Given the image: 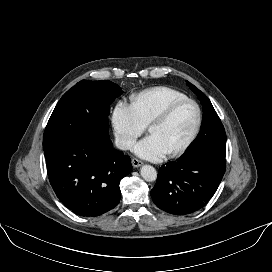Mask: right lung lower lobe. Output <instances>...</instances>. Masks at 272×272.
Instances as JSON below:
<instances>
[{
	"instance_id": "obj_1",
	"label": "right lung lower lobe",
	"mask_w": 272,
	"mask_h": 272,
	"mask_svg": "<svg viewBox=\"0 0 272 272\" xmlns=\"http://www.w3.org/2000/svg\"><path fill=\"white\" fill-rule=\"evenodd\" d=\"M49 181L59 200L81 216H99L120 201L130 157L92 134H72L44 149Z\"/></svg>"
}]
</instances>
